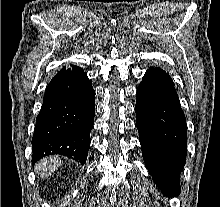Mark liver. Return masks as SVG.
Here are the masks:
<instances>
[{"instance_id":"liver-1","label":"liver","mask_w":220,"mask_h":207,"mask_svg":"<svg viewBox=\"0 0 220 207\" xmlns=\"http://www.w3.org/2000/svg\"><path fill=\"white\" fill-rule=\"evenodd\" d=\"M61 164L62 160L57 156L45 157L36 164L35 171L45 178L50 176Z\"/></svg>"}]
</instances>
